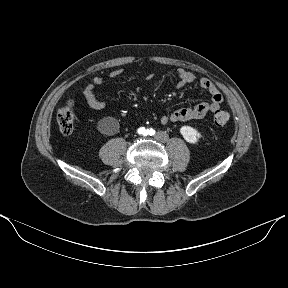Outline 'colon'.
Listing matches in <instances>:
<instances>
[{"mask_svg":"<svg viewBox=\"0 0 288 288\" xmlns=\"http://www.w3.org/2000/svg\"><path fill=\"white\" fill-rule=\"evenodd\" d=\"M57 124L61 133L69 135L75 126V111L72 101L65 102L58 110L56 116ZM229 120V114L223 110L214 113V123L217 126H224Z\"/></svg>","mask_w":288,"mask_h":288,"instance_id":"obj_1","label":"colon"}]
</instances>
